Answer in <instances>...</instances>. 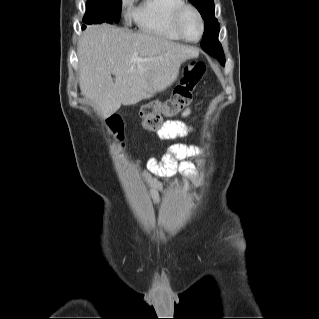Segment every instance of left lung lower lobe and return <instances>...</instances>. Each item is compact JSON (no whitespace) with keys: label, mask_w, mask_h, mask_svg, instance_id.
I'll return each mask as SVG.
<instances>
[{"label":"left lung lower lobe","mask_w":319,"mask_h":319,"mask_svg":"<svg viewBox=\"0 0 319 319\" xmlns=\"http://www.w3.org/2000/svg\"><path fill=\"white\" fill-rule=\"evenodd\" d=\"M203 50L205 51V52H207L208 54H213V55H216L212 50H210V49H208V48H203Z\"/></svg>","instance_id":"obj_1"}]
</instances>
